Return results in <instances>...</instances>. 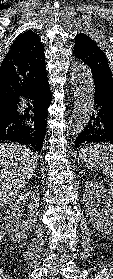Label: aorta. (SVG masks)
<instances>
[{
    "label": "aorta",
    "instance_id": "obj_1",
    "mask_svg": "<svg viewBox=\"0 0 113 279\" xmlns=\"http://www.w3.org/2000/svg\"><path fill=\"white\" fill-rule=\"evenodd\" d=\"M70 77L74 95V108L66 135L76 136L85 128L94 110L93 78L89 67L81 61L72 63Z\"/></svg>",
    "mask_w": 113,
    "mask_h": 279
}]
</instances>
